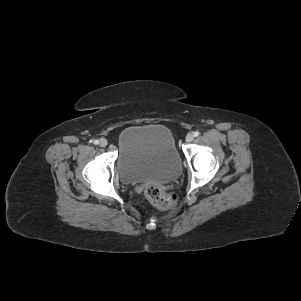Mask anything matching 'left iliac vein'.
Wrapping results in <instances>:
<instances>
[{
  "label": "left iliac vein",
  "instance_id": "left-iliac-vein-1",
  "mask_svg": "<svg viewBox=\"0 0 301 301\" xmlns=\"http://www.w3.org/2000/svg\"><path fill=\"white\" fill-rule=\"evenodd\" d=\"M194 139V135L192 133H188L187 136H186V141L188 143L192 142Z\"/></svg>",
  "mask_w": 301,
  "mask_h": 301
}]
</instances>
